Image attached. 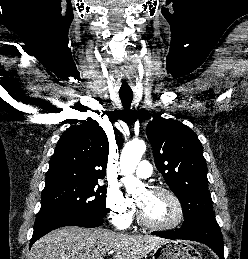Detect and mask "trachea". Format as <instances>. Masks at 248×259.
Segmentation results:
<instances>
[{"label": "trachea", "instance_id": "1", "mask_svg": "<svg viewBox=\"0 0 248 259\" xmlns=\"http://www.w3.org/2000/svg\"><path fill=\"white\" fill-rule=\"evenodd\" d=\"M119 96L125 111H128L133 100V92H120Z\"/></svg>", "mask_w": 248, "mask_h": 259}]
</instances>
